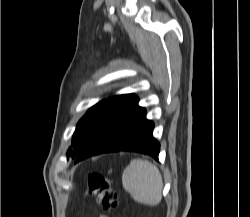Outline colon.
I'll return each mask as SVG.
<instances>
[{"label":"colon","instance_id":"5ec220e1","mask_svg":"<svg viewBox=\"0 0 250 217\" xmlns=\"http://www.w3.org/2000/svg\"><path fill=\"white\" fill-rule=\"evenodd\" d=\"M88 190L104 211L109 212L119 206V198L115 189L103 175L91 173L88 178Z\"/></svg>","mask_w":250,"mask_h":217}]
</instances>
